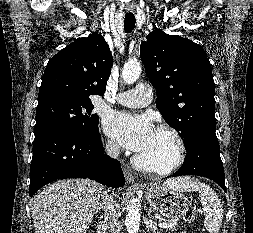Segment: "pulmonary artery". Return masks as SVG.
I'll return each mask as SVG.
<instances>
[{
    "mask_svg": "<svg viewBox=\"0 0 253 233\" xmlns=\"http://www.w3.org/2000/svg\"><path fill=\"white\" fill-rule=\"evenodd\" d=\"M152 98L151 87L147 83H140L134 89L119 93L116 101L123 106L139 108L149 105Z\"/></svg>",
    "mask_w": 253,
    "mask_h": 233,
    "instance_id": "obj_1",
    "label": "pulmonary artery"
}]
</instances>
